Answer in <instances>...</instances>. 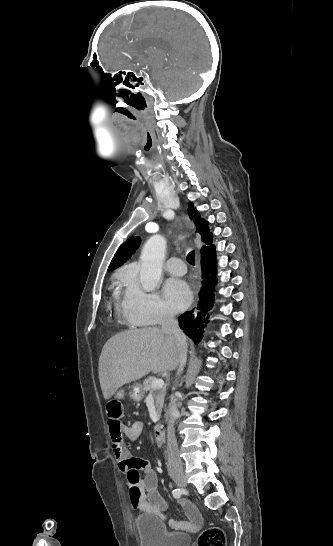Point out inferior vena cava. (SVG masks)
<instances>
[{"mask_svg":"<svg viewBox=\"0 0 333 546\" xmlns=\"http://www.w3.org/2000/svg\"><path fill=\"white\" fill-rule=\"evenodd\" d=\"M162 331L166 334L172 335L176 339L178 351H179V367L177 375L181 374L187 360V342L184 333L178 326V321L174 315L169 312H165L161 320ZM176 397L171 394L169 408L167 411V466L169 469L173 467H181L182 462L179 458L178 446L175 437L174 423L178 416V408L176 406Z\"/></svg>","mask_w":333,"mask_h":546,"instance_id":"1","label":"inferior vena cava"}]
</instances>
